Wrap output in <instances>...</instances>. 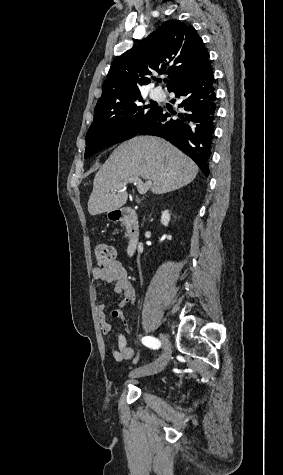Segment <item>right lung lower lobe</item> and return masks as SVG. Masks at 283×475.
<instances>
[{
  "mask_svg": "<svg viewBox=\"0 0 283 475\" xmlns=\"http://www.w3.org/2000/svg\"><path fill=\"white\" fill-rule=\"evenodd\" d=\"M213 70L184 79L174 85L179 111L171 114L159 107L157 114L138 132L142 135L160 136L187 154L209 175L214 121L216 118V92Z\"/></svg>",
  "mask_w": 283,
  "mask_h": 475,
  "instance_id": "98d812e1",
  "label": "right lung lower lobe"
}]
</instances>
